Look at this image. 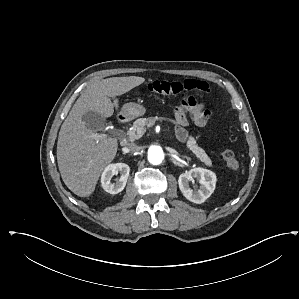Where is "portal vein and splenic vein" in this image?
I'll use <instances>...</instances> for the list:
<instances>
[{"instance_id":"18ae733b","label":"portal vein and splenic vein","mask_w":299,"mask_h":299,"mask_svg":"<svg viewBox=\"0 0 299 299\" xmlns=\"http://www.w3.org/2000/svg\"><path fill=\"white\" fill-rule=\"evenodd\" d=\"M92 137L98 141V140H101V139L105 138L106 135L105 134L95 133V134H92Z\"/></svg>"}]
</instances>
